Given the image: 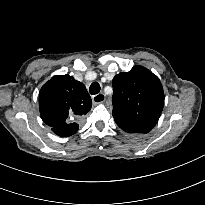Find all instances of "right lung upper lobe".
Wrapping results in <instances>:
<instances>
[{"mask_svg": "<svg viewBox=\"0 0 205 205\" xmlns=\"http://www.w3.org/2000/svg\"><path fill=\"white\" fill-rule=\"evenodd\" d=\"M91 105L85 86L67 74L52 77L39 93L41 118L61 137L78 131L79 125L75 121L86 115Z\"/></svg>", "mask_w": 205, "mask_h": 205, "instance_id": "1", "label": "right lung upper lobe"}]
</instances>
